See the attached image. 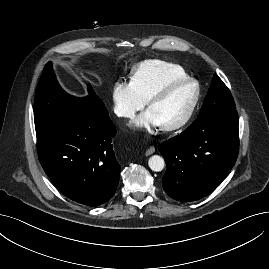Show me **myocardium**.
I'll use <instances>...</instances> for the list:
<instances>
[{"label": "myocardium", "instance_id": "f54148a6", "mask_svg": "<svg viewBox=\"0 0 269 269\" xmlns=\"http://www.w3.org/2000/svg\"><path fill=\"white\" fill-rule=\"evenodd\" d=\"M186 85H193L195 88L192 101H191L187 111L185 112V114L183 115V117L179 121H177L173 124H170V125L162 126V129L165 131H176V130H179V129L185 127L189 123V121L191 120V118H192V116H193V114L198 106V103H199V100L201 97V88H200L199 83L195 79H192L189 77L185 78V79L176 80V81L168 83L164 87L157 90L147 100V108L149 109V107L151 105H153L154 103L165 98L167 95H169L176 88L186 86Z\"/></svg>", "mask_w": 269, "mask_h": 269}]
</instances>
